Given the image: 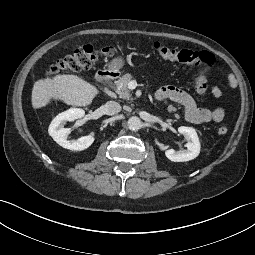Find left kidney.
<instances>
[{
  "label": "left kidney",
  "instance_id": "1",
  "mask_svg": "<svg viewBox=\"0 0 255 255\" xmlns=\"http://www.w3.org/2000/svg\"><path fill=\"white\" fill-rule=\"evenodd\" d=\"M178 132L187 139V149L182 151H175L174 149L166 150V157L173 162H185L196 158L200 153L201 146L195 129L181 126L178 128Z\"/></svg>",
  "mask_w": 255,
  "mask_h": 255
}]
</instances>
